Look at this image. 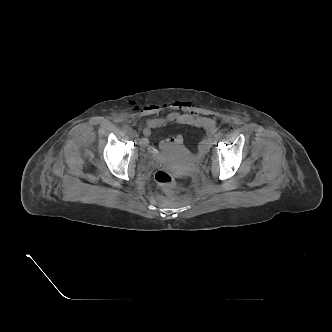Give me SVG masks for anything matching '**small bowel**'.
I'll list each match as a JSON object with an SVG mask.
<instances>
[{
  "label": "small bowel",
  "instance_id": "1",
  "mask_svg": "<svg viewBox=\"0 0 332 332\" xmlns=\"http://www.w3.org/2000/svg\"><path fill=\"white\" fill-rule=\"evenodd\" d=\"M164 110H170L165 117L149 118L146 121V126L142 130L144 137L140 140V144L143 147H148L151 153H155V149L149 146V136L152 130L165 127L169 124H179L191 125L202 129L205 132V136L199 143L198 149L200 153H205L208 150L211 137L217 129V121L214 118L200 115L192 111L187 103L181 101L151 105L145 108V113L147 115H157ZM182 142V137L177 135L170 139L162 140L159 143V147L161 149H167L171 145H180Z\"/></svg>",
  "mask_w": 332,
  "mask_h": 332
}]
</instances>
